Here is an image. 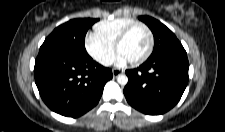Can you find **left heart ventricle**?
<instances>
[{
  "mask_svg": "<svg viewBox=\"0 0 225 132\" xmlns=\"http://www.w3.org/2000/svg\"><path fill=\"white\" fill-rule=\"evenodd\" d=\"M148 45L149 37L147 32L143 28L138 27L122 43L119 53L126 57L128 61L135 60L146 52Z\"/></svg>",
  "mask_w": 225,
  "mask_h": 132,
  "instance_id": "1",
  "label": "left heart ventricle"
}]
</instances>
